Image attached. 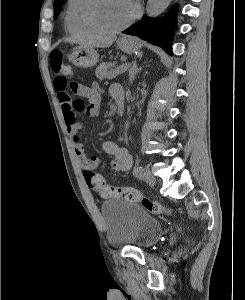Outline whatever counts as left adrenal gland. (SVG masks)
<instances>
[{"instance_id":"left-adrenal-gland-1","label":"left adrenal gland","mask_w":245,"mask_h":300,"mask_svg":"<svg viewBox=\"0 0 245 300\" xmlns=\"http://www.w3.org/2000/svg\"><path fill=\"white\" fill-rule=\"evenodd\" d=\"M142 67L138 68L136 61H133L131 68L129 69V84H132L135 76L141 71Z\"/></svg>"}]
</instances>
